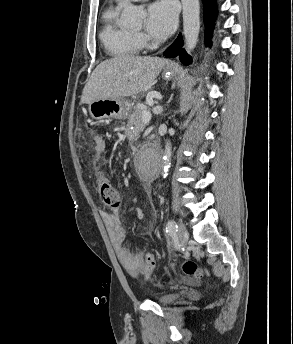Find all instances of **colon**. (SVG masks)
<instances>
[{
	"label": "colon",
	"instance_id": "5ec220e1",
	"mask_svg": "<svg viewBox=\"0 0 293 344\" xmlns=\"http://www.w3.org/2000/svg\"><path fill=\"white\" fill-rule=\"evenodd\" d=\"M98 192L103 204L114 209L120 203V196L113 185L107 178H101L98 182ZM155 267V258L153 254L147 253L144 258V265L142 269L143 276L147 279L150 277ZM184 274L192 278H201L204 275L202 267L193 260H186L182 265Z\"/></svg>",
	"mask_w": 293,
	"mask_h": 344
}]
</instances>
